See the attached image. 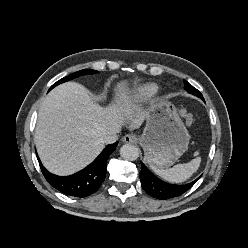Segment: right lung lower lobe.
Listing matches in <instances>:
<instances>
[{
	"mask_svg": "<svg viewBox=\"0 0 248 248\" xmlns=\"http://www.w3.org/2000/svg\"><path fill=\"white\" fill-rule=\"evenodd\" d=\"M116 146L117 142L107 145L90 165L70 176H57L50 173L41 164L38 156L37 158L41 171L51 186L69 196L86 197L96 192L103 183L107 171V160Z\"/></svg>",
	"mask_w": 248,
	"mask_h": 248,
	"instance_id": "98d812e1",
	"label": "right lung lower lobe"
}]
</instances>
